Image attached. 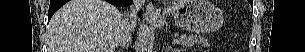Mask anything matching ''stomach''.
Listing matches in <instances>:
<instances>
[{"label": "stomach", "mask_w": 305, "mask_h": 52, "mask_svg": "<svg viewBox=\"0 0 305 52\" xmlns=\"http://www.w3.org/2000/svg\"><path fill=\"white\" fill-rule=\"evenodd\" d=\"M175 24L194 33H210L223 24V13L208 0H186L173 14ZM165 21L155 22V26L164 25Z\"/></svg>", "instance_id": "obj_1"}]
</instances>
